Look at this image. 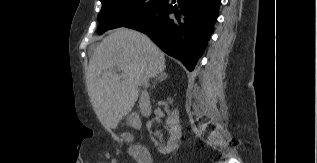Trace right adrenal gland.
<instances>
[{"instance_id":"1","label":"right adrenal gland","mask_w":317,"mask_h":163,"mask_svg":"<svg viewBox=\"0 0 317 163\" xmlns=\"http://www.w3.org/2000/svg\"><path fill=\"white\" fill-rule=\"evenodd\" d=\"M167 76L168 75L166 74V72H164V71L161 72L160 75L154 80L152 88L155 87V84H156L157 81L161 82V81L165 80L167 78Z\"/></svg>"}]
</instances>
